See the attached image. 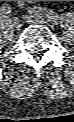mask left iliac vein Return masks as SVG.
Returning a JSON list of instances; mask_svg holds the SVG:
<instances>
[{"instance_id":"1","label":"left iliac vein","mask_w":74,"mask_h":122,"mask_svg":"<svg viewBox=\"0 0 74 122\" xmlns=\"http://www.w3.org/2000/svg\"><path fill=\"white\" fill-rule=\"evenodd\" d=\"M24 18L34 24H42V25H48V21L45 18H42L41 16H35V15H26Z\"/></svg>"}]
</instances>
